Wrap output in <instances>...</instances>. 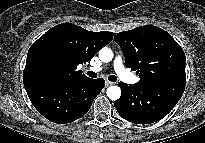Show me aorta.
<instances>
[{
	"label": "aorta",
	"instance_id": "aorta-1",
	"mask_svg": "<svg viewBox=\"0 0 205 143\" xmlns=\"http://www.w3.org/2000/svg\"><path fill=\"white\" fill-rule=\"evenodd\" d=\"M99 58L103 62H110L113 58V52L110 48L104 47L99 51ZM107 96L112 101L118 100L121 96V89L118 86L107 88Z\"/></svg>",
	"mask_w": 205,
	"mask_h": 143
}]
</instances>
